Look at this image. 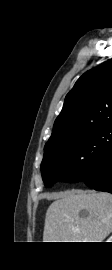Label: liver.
I'll list each match as a JSON object with an SVG mask.
<instances>
[{
  "instance_id": "obj_1",
  "label": "liver",
  "mask_w": 112,
  "mask_h": 270,
  "mask_svg": "<svg viewBox=\"0 0 112 270\" xmlns=\"http://www.w3.org/2000/svg\"><path fill=\"white\" fill-rule=\"evenodd\" d=\"M51 198L43 242H102L112 232V194L74 190Z\"/></svg>"
}]
</instances>
